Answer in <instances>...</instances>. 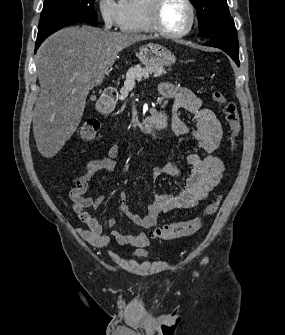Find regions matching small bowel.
I'll use <instances>...</instances> for the list:
<instances>
[{"label": "small bowel", "instance_id": "c3829d8e", "mask_svg": "<svg viewBox=\"0 0 285 335\" xmlns=\"http://www.w3.org/2000/svg\"><path fill=\"white\" fill-rule=\"evenodd\" d=\"M159 93L163 98L173 101L171 125L174 133L181 137L190 138L203 154L192 153L188 155L189 173L183 188L177 194H155L152 202L147 207L145 216L134 214L126 203V193H120V210L141 231L136 234H123L118 230H112L111 236L119 244H128L139 249L149 244V238L145 230L155 226L162 213L196 206L218 185L224 171V163L217 154L223 138V127L214 112L204 108L201 99L189 88L172 83H162L159 86ZM180 109L192 115L193 127H190L180 117L178 114ZM119 153L120 147L113 145L108 150L106 157L90 161L82 174L75 179L70 190L72 211L79 221L85 225L84 228H79L78 232L84 240L95 246H107L110 242V236L103 233L102 225L87 209L100 208L105 202V196L101 195L93 198L85 196V191L88 181L96 172L104 170L113 173L116 170L115 159ZM161 175L178 178L181 177L182 171L175 164L153 169L152 177L154 180ZM115 224L114 219L109 221L110 227H114Z\"/></svg>", "mask_w": 285, "mask_h": 335}]
</instances>
